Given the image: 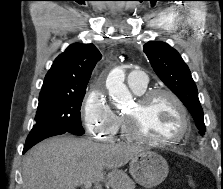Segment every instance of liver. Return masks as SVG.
<instances>
[{"label":"liver","instance_id":"6515ba94","mask_svg":"<svg viewBox=\"0 0 223 189\" xmlns=\"http://www.w3.org/2000/svg\"><path fill=\"white\" fill-rule=\"evenodd\" d=\"M143 151V147L130 144H100L70 136L49 138L27 152L22 187L76 189L91 181L126 189L129 178L119 168ZM105 168L111 170L106 177Z\"/></svg>","mask_w":223,"mask_h":189}]
</instances>
